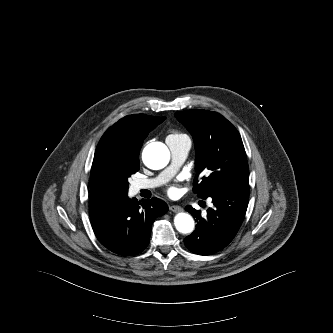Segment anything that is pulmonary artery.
<instances>
[{
  "instance_id": "e3ab8cb5",
  "label": "pulmonary artery",
  "mask_w": 333,
  "mask_h": 333,
  "mask_svg": "<svg viewBox=\"0 0 333 333\" xmlns=\"http://www.w3.org/2000/svg\"><path fill=\"white\" fill-rule=\"evenodd\" d=\"M166 143L171 152V157H172L171 165L154 178L136 180L134 183V187L136 190L152 189L162 185L176 173L178 168L187 158L191 147V142L189 139H183V140L167 139Z\"/></svg>"
}]
</instances>
